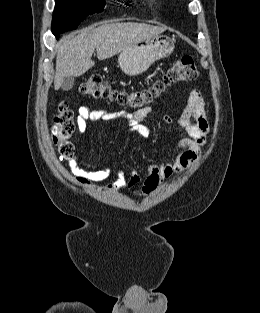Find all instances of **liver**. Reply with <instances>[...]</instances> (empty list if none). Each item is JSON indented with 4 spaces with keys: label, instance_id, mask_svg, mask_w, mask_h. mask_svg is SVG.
<instances>
[{
    "label": "liver",
    "instance_id": "liver-1",
    "mask_svg": "<svg viewBox=\"0 0 260 313\" xmlns=\"http://www.w3.org/2000/svg\"><path fill=\"white\" fill-rule=\"evenodd\" d=\"M166 30L145 23H107L89 26L79 33L63 37L58 45L54 89L65 77H79L95 64L91 57L95 49L99 60L113 57L131 45L158 36Z\"/></svg>",
    "mask_w": 260,
    "mask_h": 313
}]
</instances>
